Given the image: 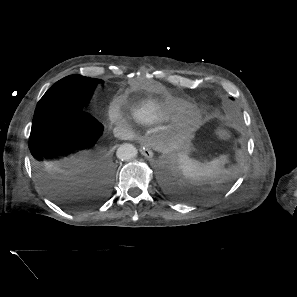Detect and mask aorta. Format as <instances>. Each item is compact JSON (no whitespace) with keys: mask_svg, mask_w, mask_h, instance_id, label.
Masks as SVG:
<instances>
[{"mask_svg":"<svg viewBox=\"0 0 297 297\" xmlns=\"http://www.w3.org/2000/svg\"><path fill=\"white\" fill-rule=\"evenodd\" d=\"M137 156V149L132 144H122L117 150V157L121 160H131Z\"/></svg>","mask_w":297,"mask_h":297,"instance_id":"aorta-1","label":"aorta"}]
</instances>
